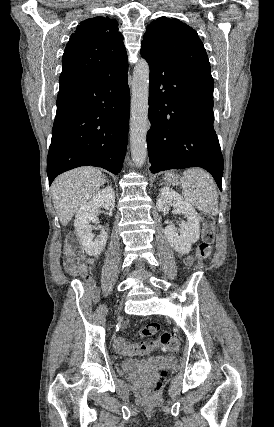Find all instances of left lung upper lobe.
I'll list each match as a JSON object with an SVG mask.
<instances>
[{
    "instance_id": "obj_1",
    "label": "left lung upper lobe",
    "mask_w": 274,
    "mask_h": 427,
    "mask_svg": "<svg viewBox=\"0 0 274 427\" xmlns=\"http://www.w3.org/2000/svg\"><path fill=\"white\" fill-rule=\"evenodd\" d=\"M142 47L188 73L211 76L210 63L194 29L177 19L160 17L147 26Z\"/></svg>"
}]
</instances>
